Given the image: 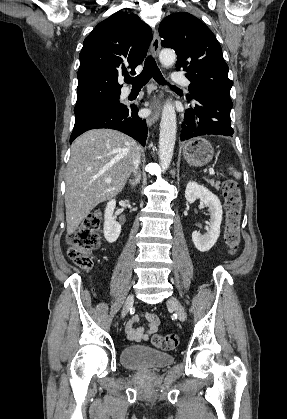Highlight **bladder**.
Masks as SVG:
<instances>
[{
  "label": "bladder",
  "instance_id": "obj_1",
  "mask_svg": "<svg viewBox=\"0 0 287 419\" xmlns=\"http://www.w3.org/2000/svg\"><path fill=\"white\" fill-rule=\"evenodd\" d=\"M121 362L135 370H158L172 364L174 357L145 346H127L121 352Z\"/></svg>",
  "mask_w": 287,
  "mask_h": 419
}]
</instances>
